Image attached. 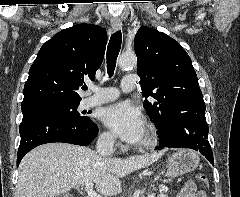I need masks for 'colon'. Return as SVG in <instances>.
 <instances>
[{"instance_id": "obj_1", "label": "colon", "mask_w": 240, "mask_h": 197, "mask_svg": "<svg viewBox=\"0 0 240 197\" xmlns=\"http://www.w3.org/2000/svg\"><path fill=\"white\" fill-rule=\"evenodd\" d=\"M198 181L202 182L203 184L207 185L208 184V178L204 174H199L197 176Z\"/></svg>"}]
</instances>
